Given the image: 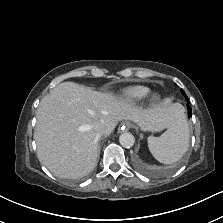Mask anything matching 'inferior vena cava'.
Instances as JSON below:
<instances>
[{
    "mask_svg": "<svg viewBox=\"0 0 223 223\" xmlns=\"http://www.w3.org/2000/svg\"><path fill=\"white\" fill-rule=\"evenodd\" d=\"M95 130H96L98 135L102 136L105 133V126L103 124H98L95 127Z\"/></svg>",
    "mask_w": 223,
    "mask_h": 223,
    "instance_id": "inferior-vena-cava-1",
    "label": "inferior vena cava"
}]
</instances>
